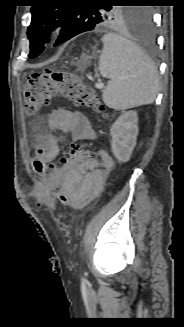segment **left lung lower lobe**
Instances as JSON below:
<instances>
[{
	"label": "left lung lower lobe",
	"mask_w": 184,
	"mask_h": 327,
	"mask_svg": "<svg viewBox=\"0 0 184 327\" xmlns=\"http://www.w3.org/2000/svg\"><path fill=\"white\" fill-rule=\"evenodd\" d=\"M135 39L137 42V47L144 53L149 55L156 54L157 44L155 40V27L151 15L145 18L135 27ZM78 35L75 32H70L67 30H61V33L54 46L62 44L72 37Z\"/></svg>",
	"instance_id": "0a47b994"
}]
</instances>
